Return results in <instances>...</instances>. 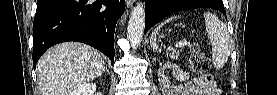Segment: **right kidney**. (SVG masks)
<instances>
[{"instance_id": "right-kidney-1", "label": "right kidney", "mask_w": 277, "mask_h": 95, "mask_svg": "<svg viewBox=\"0 0 277 95\" xmlns=\"http://www.w3.org/2000/svg\"><path fill=\"white\" fill-rule=\"evenodd\" d=\"M96 91V84L86 83L76 88L72 95H94Z\"/></svg>"}]
</instances>
